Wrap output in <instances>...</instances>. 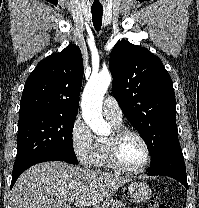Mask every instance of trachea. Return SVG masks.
<instances>
[{
  "mask_svg": "<svg viewBox=\"0 0 199 208\" xmlns=\"http://www.w3.org/2000/svg\"><path fill=\"white\" fill-rule=\"evenodd\" d=\"M92 21L96 31L101 29L103 9H91Z\"/></svg>",
  "mask_w": 199,
  "mask_h": 208,
  "instance_id": "3493384b",
  "label": "trachea"
}]
</instances>
